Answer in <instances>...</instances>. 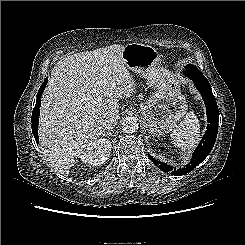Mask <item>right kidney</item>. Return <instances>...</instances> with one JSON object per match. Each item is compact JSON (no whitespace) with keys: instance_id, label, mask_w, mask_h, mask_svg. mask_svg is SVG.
Here are the masks:
<instances>
[{"instance_id":"right-kidney-1","label":"right kidney","mask_w":245,"mask_h":245,"mask_svg":"<svg viewBox=\"0 0 245 245\" xmlns=\"http://www.w3.org/2000/svg\"><path fill=\"white\" fill-rule=\"evenodd\" d=\"M111 152V142L107 139H96L92 141L80 157V159L90 166H100L109 158Z\"/></svg>"}]
</instances>
